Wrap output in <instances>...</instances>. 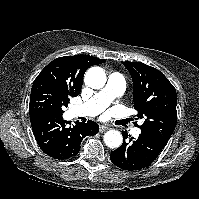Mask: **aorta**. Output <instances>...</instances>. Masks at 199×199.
<instances>
[{"mask_svg":"<svg viewBox=\"0 0 199 199\" xmlns=\"http://www.w3.org/2000/svg\"><path fill=\"white\" fill-rule=\"evenodd\" d=\"M106 74L100 67H92L85 74V84L93 89H100L106 84ZM104 142L110 148H118L122 135L117 130H109L104 135Z\"/></svg>","mask_w":199,"mask_h":199,"instance_id":"762f6f07","label":"aorta"}]
</instances>
